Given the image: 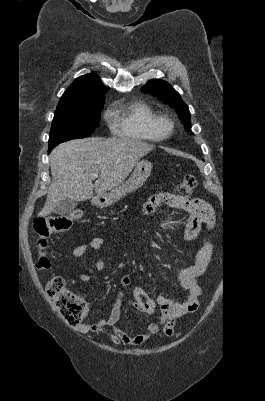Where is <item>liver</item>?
I'll return each instance as SVG.
<instances>
[{
    "mask_svg": "<svg viewBox=\"0 0 265 401\" xmlns=\"http://www.w3.org/2000/svg\"><path fill=\"white\" fill-rule=\"evenodd\" d=\"M155 148L143 140L132 138H78L62 142L52 150L49 160L52 182L46 203L38 217H48L60 201H88L93 190L107 194L124 182L137 160ZM98 172L99 178L92 182Z\"/></svg>",
    "mask_w": 265,
    "mask_h": 401,
    "instance_id": "6515ba94",
    "label": "liver"
}]
</instances>
